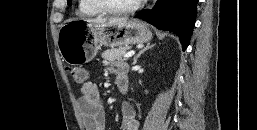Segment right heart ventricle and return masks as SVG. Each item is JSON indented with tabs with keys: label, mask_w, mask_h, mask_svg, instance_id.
I'll use <instances>...</instances> for the list:
<instances>
[{
	"label": "right heart ventricle",
	"mask_w": 257,
	"mask_h": 130,
	"mask_svg": "<svg viewBox=\"0 0 257 130\" xmlns=\"http://www.w3.org/2000/svg\"><path fill=\"white\" fill-rule=\"evenodd\" d=\"M77 14L80 16H95L99 14L88 2V0H78Z\"/></svg>",
	"instance_id": "obj_1"
}]
</instances>
